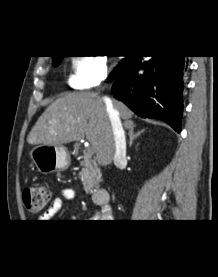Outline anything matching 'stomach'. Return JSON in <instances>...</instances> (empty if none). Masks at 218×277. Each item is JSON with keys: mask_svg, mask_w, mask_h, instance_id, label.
I'll use <instances>...</instances> for the list:
<instances>
[{"mask_svg": "<svg viewBox=\"0 0 218 277\" xmlns=\"http://www.w3.org/2000/svg\"><path fill=\"white\" fill-rule=\"evenodd\" d=\"M30 158L37 170L43 174L65 170L70 166V155L63 146L38 145L33 148Z\"/></svg>", "mask_w": 218, "mask_h": 277, "instance_id": "obj_1", "label": "stomach"}]
</instances>
